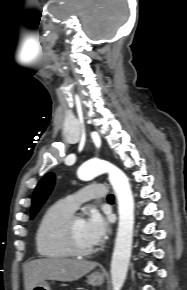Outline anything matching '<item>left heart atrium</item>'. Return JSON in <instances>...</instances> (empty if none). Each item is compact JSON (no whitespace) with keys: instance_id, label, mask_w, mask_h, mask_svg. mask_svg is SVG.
<instances>
[{"instance_id":"1","label":"left heart atrium","mask_w":187,"mask_h":290,"mask_svg":"<svg viewBox=\"0 0 187 290\" xmlns=\"http://www.w3.org/2000/svg\"><path fill=\"white\" fill-rule=\"evenodd\" d=\"M85 226L89 238L95 245L101 243L109 233L107 219L96 209L90 210L85 219Z\"/></svg>"}]
</instances>
